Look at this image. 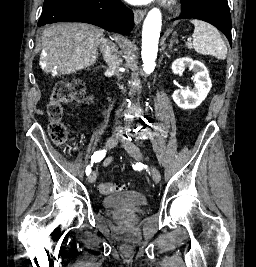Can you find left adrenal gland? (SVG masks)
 I'll use <instances>...</instances> for the list:
<instances>
[{
  "instance_id": "left-adrenal-gland-1",
  "label": "left adrenal gland",
  "mask_w": 256,
  "mask_h": 267,
  "mask_svg": "<svg viewBox=\"0 0 256 267\" xmlns=\"http://www.w3.org/2000/svg\"><path fill=\"white\" fill-rule=\"evenodd\" d=\"M176 36H177V34H176V32H174V34H172V38L170 40L169 50H172L173 44H178V40H177Z\"/></svg>"
}]
</instances>
